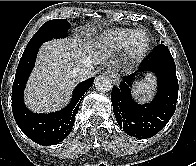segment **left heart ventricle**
<instances>
[{"label":"left heart ventricle","instance_id":"left-heart-ventricle-1","mask_svg":"<svg viewBox=\"0 0 196 166\" xmlns=\"http://www.w3.org/2000/svg\"><path fill=\"white\" fill-rule=\"evenodd\" d=\"M145 41V38L142 34L137 35L133 40V45L136 47L141 46Z\"/></svg>","mask_w":196,"mask_h":166}]
</instances>
